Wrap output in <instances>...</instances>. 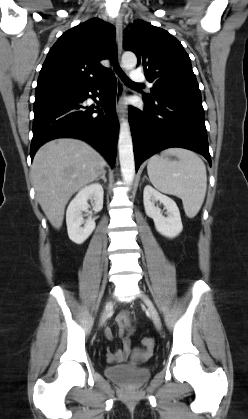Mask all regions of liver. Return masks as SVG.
I'll list each match as a JSON object with an SVG mask.
<instances>
[{"instance_id":"obj_1","label":"liver","mask_w":248,"mask_h":419,"mask_svg":"<svg viewBox=\"0 0 248 419\" xmlns=\"http://www.w3.org/2000/svg\"><path fill=\"white\" fill-rule=\"evenodd\" d=\"M103 156L86 142L60 138L44 144L35 154L31 177L36 199L51 225L60 229L66 204L104 170Z\"/></svg>"}]
</instances>
